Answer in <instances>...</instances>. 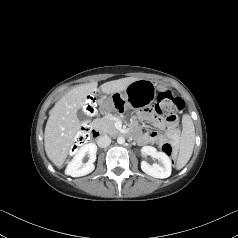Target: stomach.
I'll use <instances>...</instances> for the list:
<instances>
[{"instance_id":"obj_1","label":"stomach","mask_w":238,"mask_h":238,"mask_svg":"<svg viewBox=\"0 0 238 238\" xmlns=\"http://www.w3.org/2000/svg\"><path fill=\"white\" fill-rule=\"evenodd\" d=\"M156 97L155 84L146 79H138L123 90L116 91L101 104V110L125 113L130 109H141L151 106Z\"/></svg>"}]
</instances>
